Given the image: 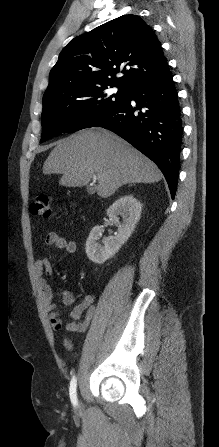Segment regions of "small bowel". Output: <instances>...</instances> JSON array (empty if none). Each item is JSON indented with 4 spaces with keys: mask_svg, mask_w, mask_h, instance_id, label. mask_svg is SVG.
<instances>
[{
    "mask_svg": "<svg viewBox=\"0 0 219 447\" xmlns=\"http://www.w3.org/2000/svg\"><path fill=\"white\" fill-rule=\"evenodd\" d=\"M45 244L57 249H63L71 254L76 252V244L74 242L68 241L65 237L55 232L48 233L45 236ZM35 267L39 278L42 301L53 330L59 331L65 328L69 332H85L94 316V297L85 295L81 302L68 312L67 316L70 321L64 324L61 318L62 314L57 310V304L54 302L55 295L49 285V281L54 277L49 259L45 257L38 259ZM56 296L64 306L72 305L75 300L73 292L67 289L58 291ZM66 344L70 346L68 341H66Z\"/></svg>",
    "mask_w": 219,
    "mask_h": 447,
    "instance_id": "1",
    "label": "small bowel"
}]
</instances>
